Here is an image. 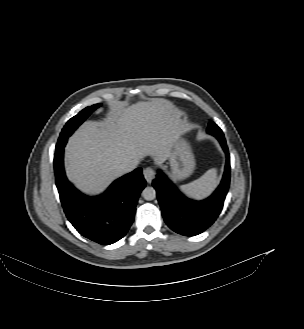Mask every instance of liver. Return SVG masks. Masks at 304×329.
<instances>
[{"label": "liver", "mask_w": 304, "mask_h": 329, "mask_svg": "<svg viewBox=\"0 0 304 329\" xmlns=\"http://www.w3.org/2000/svg\"><path fill=\"white\" fill-rule=\"evenodd\" d=\"M181 126L180 111L165 99L116 106L104 120L87 121L70 137L67 176L84 193L98 194L121 175L124 161L169 158Z\"/></svg>", "instance_id": "liver-1"}]
</instances>
